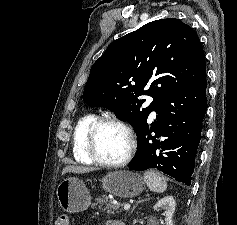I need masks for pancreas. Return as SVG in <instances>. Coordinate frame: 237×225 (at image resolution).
Wrapping results in <instances>:
<instances>
[{"label":"pancreas","mask_w":237,"mask_h":225,"mask_svg":"<svg viewBox=\"0 0 237 225\" xmlns=\"http://www.w3.org/2000/svg\"><path fill=\"white\" fill-rule=\"evenodd\" d=\"M122 203L114 204L109 197L107 196H100L96 198V202L92 204L93 208L99 207L100 209L105 210L109 214H120L122 212V209H119L122 207Z\"/></svg>","instance_id":"obj_1"}]
</instances>
